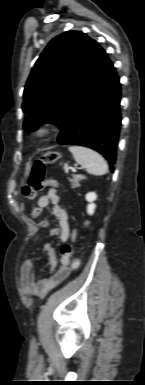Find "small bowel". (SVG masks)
<instances>
[{
  "instance_id": "c3829d8e",
  "label": "small bowel",
  "mask_w": 145,
  "mask_h": 385,
  "mask_svg": "<svg viewBox=\"0 0 145 385\" xmlns=\"http://www.w3.org/2000/svg\"><path fill=\"white\" fill-rule=\"evenodd\" d=\"M48 185L51 186V189L39 196L38 206L32 210V216H40L42 209L51 205L57 221V227L52 229L50 234L57 237L61 242H65L71 236L69 215L61 202L60 196L56 192L57 180L49 179ZM36 209L40 211V214L37 216L34 214ZM38 226L45 228L48 226V221L42 220L38 223ZM72 237H75L74 233ZM44 251L50 265L48 276L38 279L34 263L30 259L25 260L21 266L20 285L22 292L27 297L43 299L53 288L63 282L74 269L72 263L65 257L60 258V265L57 266L56 250L50 243L44 245Z\"/></svg>"
}]
</instances>
